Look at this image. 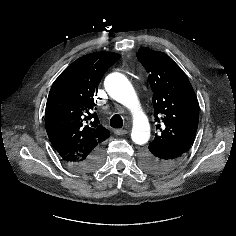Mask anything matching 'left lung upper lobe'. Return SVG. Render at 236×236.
I'll use <instances>...</instances> for the list:
<instances>
[{"mask_svg":"<svg viewBox=\"0 0 236 236\" xmlns=\"http://www.w3.org/2000/svg\"><path fill=\"white\" fill-rule=\"evenodd\" d=\"M137 58L150 73L148 80L153 91L154 117L158 130L145 154L155 159L157 151L187 152L196 135L199 120L197 97L188 77L163 52L142 47ZM141 165L146 171L153 169L151 163L142 160Z\"/></svg>","mask_w":236,"mask_h":236,"instance_id":"5c2ea615","label":"left lung upper lobe"}]
</instances>
